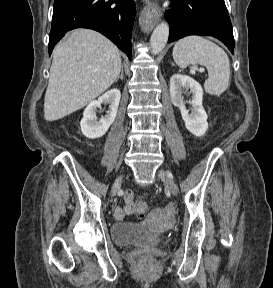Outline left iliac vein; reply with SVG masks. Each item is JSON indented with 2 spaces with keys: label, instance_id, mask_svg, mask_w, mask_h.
<instances>
[{
  "label": "left iliac vein",
  "instance_id": "obj_1",
  "mask_svg": "<svg viewBox=\"0 0 273 288\" xmlns=\"http://www.w3.org/2000/svg\"><path fill=\"white\" fill-rule=\"evenodd\" d=\"M158 178L165 184L167 189L173 194L177 195L178 194V187L172 180L170 173L166 172L164 170H158L157 172Z\"/></svg>",
  "mask_w": 273,
  "mask_h": 288
}]
</instances>
